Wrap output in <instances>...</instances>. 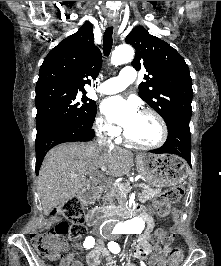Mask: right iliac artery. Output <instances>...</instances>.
I'll list each match as a JSON object with an SVG mask.
<instances>
[{"label":"right iliac artery","instance_id":"82829eb1","mask_svg":"<svg viewBox=\"0 0 221 266\" xmlns=\"http://www.w3.org/2000/svg\"><path fill=\"white\" fill-rule=\"evenodd\" d=\"M95 244V239L92 237V236H88L85 240H84V243H83V246L86 248V249H90L94 246Z\"/></svg>","mask_w":221,"mask_h":266}]
</instances>
